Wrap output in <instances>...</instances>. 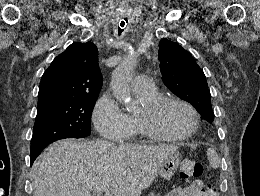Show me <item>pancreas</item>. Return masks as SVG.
<instances>
[{
	"label": "pancreas",
	"mask_w": 260,
	"mask_h": 196,
	"mask_svg": "<svg viewBox=\"0 0 260 196\" xmlns=\"http://www.w3.org/2000/svg\"><path fill=\"white\" fill-rule=\"evenodd\" d=\"M150 196H155V194H150ZM157 196H160V194H157Z\"/></svg>",
	"instance_id": "1"
}]
</instances>
